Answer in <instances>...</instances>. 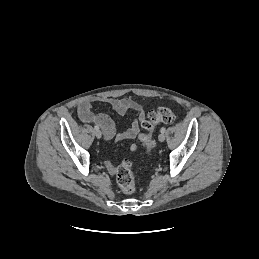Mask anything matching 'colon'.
<instances>
[{
  "label": "colon",
  "instance_id": "5ec220e1",
  "mask_svg": "<svg viewBox=\"0 0 259 259\" xmlns=\"http://www.w3.org/2000/svg\"><path fill=\"white\" fill-rule=\"evenodd\" d=\"M176 118L177 115L175 111L167 107H160L155 111H151L142 123L145 132L139 135V139L143 146L148 151H152L156 146V143L151 136L155 126L159 123H172ZM115 176L118 186L124 193L131 194L135 191L134 171L130 160L126 159L116 167Z\"/></svg>",
  "mask_w": 259,
  "mask_h": 259
}]
</instances>
